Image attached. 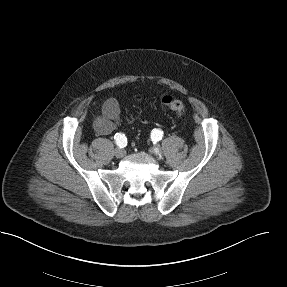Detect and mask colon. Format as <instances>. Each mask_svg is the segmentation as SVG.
<instances>
[{"mask_svg": "<svg viewBox=\"0 0 287 287\" xmlns=\"http://www.w3.org/2000/svg\"><path fill=\"white\" fill-rule=\"evenodd\" d=\"M162 104L176 115H181L185 111V105L181 99L172 95H165L161 98Z\"/></svg>", "mask_w": 287, "mask_h": 287, "instance_id": "1", "label": "colon"}]
</instances>
